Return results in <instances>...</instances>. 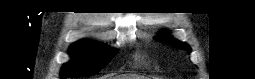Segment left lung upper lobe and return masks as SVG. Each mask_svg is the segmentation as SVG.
Returning <instances> with one entry per match:
<instances>
[{
  "instance_id": "left-lung-upper-lobe-1",
  "label": "left lung upper lobe",
  "mask_w": 255,
  "mask_h": 79,
  "mask_svg": "<svg viewBox=\"0 0 255 79\" xmlns=\"http://www.w3.org/2000/svg\"><path fill=\"white\" fill-rule=\"evenodd\" d=\"M156 40H158L162 43H166V44L184 49V50L191 51L190 47L187 44L177 41L173 38L167 37L164 33L161 36L157 37Z\"/></svg>"
}]
</instances>
